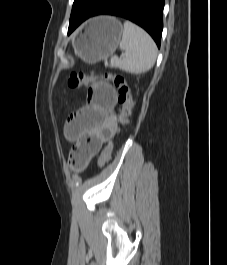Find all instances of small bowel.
I'll return each mask as SVG.
<instances>
[{
	"instance_id": "c3829d8e",
	"label": "small bowel",
	"mask_w": 227,
	"mask_h": 265,
	"mask_svg": "<svg viewBox=\"0 0 227 265\" xmlns=\"http://www.w3.org/2000/svg\"><path fill=\"white\" fill-rule=\"evenodd\" d=\"M115 105L116 93L112 86L95 83L88 90L87 104L72 113L65 124V137L86 156V164L114 135Z\"/></svg>"
}]
</instances>
